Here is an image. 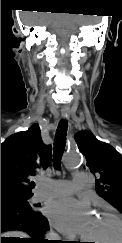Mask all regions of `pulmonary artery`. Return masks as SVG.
Masks as SVG:
<instances>
[{"mask_svg":"<svg viewBox=\"0 0 122 243\" xmlns=\"http://www.w3.org/2000/svg\"><path fill=\"white\" fill-rule=\"evenodd\" d=\"M87 183V174L81 171H75L73 182L68 180H53L40 188L36 199L43 200L48 197L65 196L72 193L74 190L85 188Z\"/></svg>","mask_w":122,"mask_h":243,"instance_id":"obj_1","label":"pulmonary artery"}]
</instances>
